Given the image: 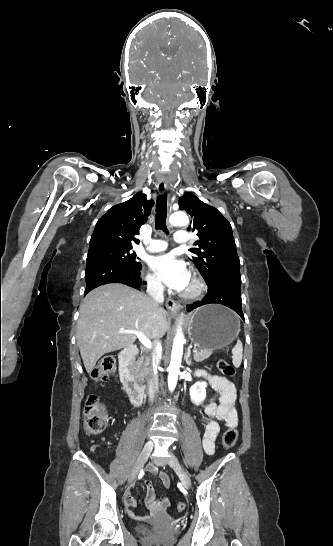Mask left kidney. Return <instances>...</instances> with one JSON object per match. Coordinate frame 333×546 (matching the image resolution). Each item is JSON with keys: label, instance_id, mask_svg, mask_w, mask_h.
Returning <instances> with one entry per match:
<instances>
[{"label": "left kidney", "instance_id": "left-kidney-1", "mask_svg": "<svg viewBox=\"0 0 333 546\" xmlns=\"http://www.w3.org/2000/svg\"><path fill=\"white\" fill-rule=\"evenodd\" d=\"M206 387L207 383L203 381L196 383L190 388L191 401L195 405H199L206 398Z\"/></svg>", "mask_w": 333, "mask_h": 546}]
</instances>
